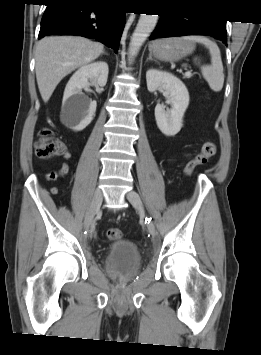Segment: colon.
Here are the masks:
<instances>
[{"mask_svg": "<svg viewBox=\"0 0 261 355\" xmlns=\"http://www.w3.org/2000/svg\"><path fill=\"white\" fill-rule=\"evenodd\" d=\"M66 149V144L49 128H44L40 132L39 140L35 145L36 155L41 159L61 157L66 153ZM215 153L216 144L212 141L205 142L201 150L187 163L185 173L191 175L198 166L207 163ZM106 235L109 240L116 241L122 237V231L119 228H110L107 230Z\"/></svg>", "mask_w": 261, "mask_h": 355, "instance_id": "obj_1", "label": "colon"}]
</instances>
